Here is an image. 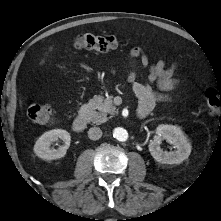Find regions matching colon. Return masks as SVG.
Masks as SVG:
<instances>
[{
    "label": "colon",
    "mask_w": 221,
    "mask_h": 221,
    "mask_svg": "<svg viewBox=\"0 0 221 221\" xmlns=\"http://www.w3.org/2000/svg\"><path fill=\"white\" fill-rule=\"evenodd\" d=\"M118 39L113 35L98 36L93 34H80L74 41L73 46L77 49H90L99 52H107L118 46ZM205 100L208 113L216 117L221 107V94L214 89L205 92ZM28 117L35 123L46 125L53 121L52 109L44 104L32 103L27 110Z\"/></svg>",
    "instance_id": "5ec220e1"
}]
</instances>
